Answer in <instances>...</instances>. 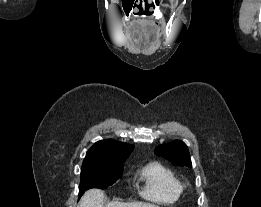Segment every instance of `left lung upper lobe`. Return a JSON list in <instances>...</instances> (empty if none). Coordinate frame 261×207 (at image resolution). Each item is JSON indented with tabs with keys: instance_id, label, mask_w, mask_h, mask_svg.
<instances>
[{
	"instance_id": "5c2ea615",
	"label": "left lung upper lobe",
	"mask_w": 261,
	"mask_h": 207,
	"mask_svg": "<svg viewBox=\"0 0 261 207\" xmlns=\"http://www.w3.org/2000/svg\"><path fill=\"white\" fill-rule=\"evenodd\" d=\"M155 154L179 165L192 167L190 154L186 144L180 140L158 146Z\"/></svg>"
}]
</instances>
